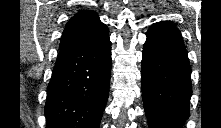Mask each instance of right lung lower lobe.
I'll return each instance as SVG.
<instances>
[{"label":"right lung lower lobe","instance_id":"obj_1","mask_svg":"<svg viewBox=\"0 0 221 128\" xmlns=\"http://www.w3.org/2000/svg\"><path fill=\"white\" fill-rule=\"evenodd\" d=\"M47 87L46 128H99L108 99L111 42L59 49Z\"/></svg>","mask_w":221,"mask_h":128}]
</instances>
